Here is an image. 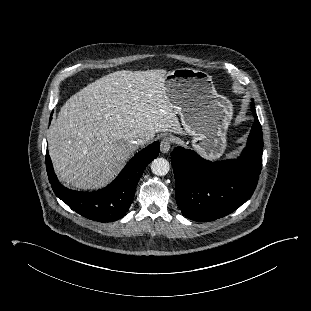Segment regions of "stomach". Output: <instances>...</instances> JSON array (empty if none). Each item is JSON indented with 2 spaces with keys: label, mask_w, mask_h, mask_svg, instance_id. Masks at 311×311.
Listing matches in <instances>:
<instances>
[{
  "label": "stomach",
  "mask_w": 311,
  "mask_h": 311,
  "mask_svg": "<svg viewBox=\"0 0 311 311\" xmlns=\"http://www.w3.org/2000/svg\"><path fill=\"white\" fill-rule=\"evenodd\" d=\"M164 87L183 128L194 136L193 148L208 159L220 157L226 148L233 107L217 93L211 76L201 70L178 68L165 75Z\"/></svg>",
  "instance_id": "obj_1"
}]
</instances>
